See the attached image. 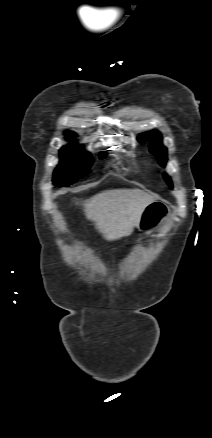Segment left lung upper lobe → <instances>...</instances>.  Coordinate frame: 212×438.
<instances>
[{"instance_id":"obj_1","label":"left lung upper lobe","mask_w":212,"mask_h":438,"mask_svg":"<svg viewBox=\"0 0 212 438\" xmlns=\"http://www.w3.org/2000/svg\"><path fill=\"white\" fill-rule=\"evenodd\" d=\"M139 142H145L150 141L149 148L150 152L155 154L156 158L159 160L161 166H165L166 160H167V150L165 147L162 146L161 141L162 137L161 134L157 130H153L150 132L143 133L138 136ZM164 177L168 184L172 187V183L170 178L164 174Z\"/></svg>"}]
</instances>
